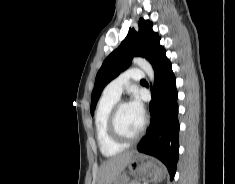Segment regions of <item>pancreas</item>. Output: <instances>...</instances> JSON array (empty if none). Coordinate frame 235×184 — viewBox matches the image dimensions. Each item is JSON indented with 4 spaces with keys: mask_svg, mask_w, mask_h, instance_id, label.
Listing matches in <instances>:
<instances>
[{
    "mask_svg": "<svg viewBox=\"0 0 235 184\" xmlns=\"http://www.w3.org/2000/svg\"><path fill=\"white\" fill-rule=\"evenodd\" d=\"M133 184H136V182H133ZM137 184H138V182H137Z\"/></svg>",
    "mask_w": 235,
    "mask_h": 184,
    "instance_id": "obj_1",
    "label": "pancreas"
}]
</instances>
